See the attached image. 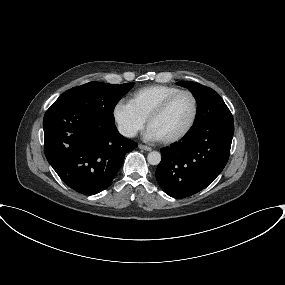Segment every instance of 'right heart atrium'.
<instances>
[{
    "instance_id": "d8ad5b80",
    "label": "right heart atrium",
    "mask_w": 285,
    "mask_h": 285,
    "mask_svg": "<svg viewBox=\"0 0 285 285\" xmlns=\"http://www.w3.org/2000/svg\"><path fill=\"white\" fill-rule=\"evenodd\" d=\"M112 116L119 132L127 138L134 137L145 125V120L129 102H117L113 107Z\"/></svg>"
}]
</instances>
